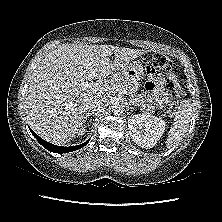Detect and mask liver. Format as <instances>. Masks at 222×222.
Wrapping results in <instances>:
<instances>
[{
  "mask_svg": "<svg viewBox=\"0 0 222 222\" xmlns=\"http://www.w3.org/2000/svg\"><path fill=\"white\" fill-rule=\"evenodd\" d=\"M115 54V60L110 56ZM144 50L112 45L63 44L35 68L24 100L28 123L42 139L69 142L85 123L89 104L108 92L80 86L83 82L121 74Z\"/></svg>",
  "mask_w": 222,
  "mask_h": 222,
  "instance_id": "6515ba94",
  "label": "liver"
}]
</instances>
